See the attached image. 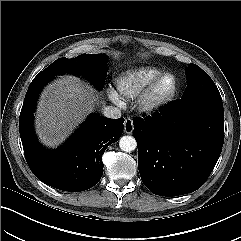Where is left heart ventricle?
Wrapping results in <instances>:
<instances>
[{"label": "left heart ventricle", "instance_id": "b2bd125f", "mask_svg": "<svg viewBox=\"0 0 241 241\" xmlns=\"http://www.w3.org/2000/svg\"><path fill=\"white\" fill-rule=\"evenodd\" d=\"M171 86H172V81L169 78L164 79L158 86L157 94L158 95L166 94L167 92L170 91Z\"/></svg>", "mask_w": 241, "mask_h": 241}]
</instances>
